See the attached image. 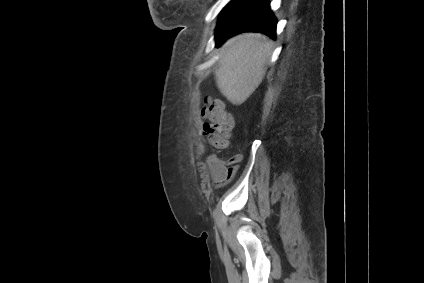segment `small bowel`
<instances>
[{
  "label": "small bowel",
  "instance_id": "small-bowel-1",
  "mask_svg": "<svg viewBox=\"0 0 424 283\" xmlns=\"http://www.w3.org/2000/svg\"><path fill=\"white\" fill-rule=\"evenodd\" d=\"M241 160V155H234L230 158H219L213 155L212 161L209 162V171L213 184L216 187L228 184L236 175Z\"/></svg>",
  "mask_w": 424,
  "mask_h": 283
}]
</instances>
